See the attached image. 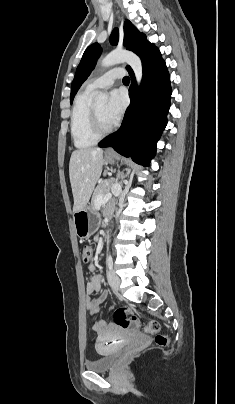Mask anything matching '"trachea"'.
I'll return each mask as SVG.
<instances>
[{
  "label": "trachea",
  "mask_w": 235,
  "mask_h": 404,
  "mask_svg": "<svg viewBox=\"0 0 235 404\" xmlns=\"http://www.w3.org/2000/svg\"><path fill=\"white\" fill-rule=\"evenodd\" d=\"M123 82H124V83H129V82H130V78H129L128 76H125V77L123 78Z\"/></svg>",
  "instance_id": "trachea-1"
}]
</instances>
